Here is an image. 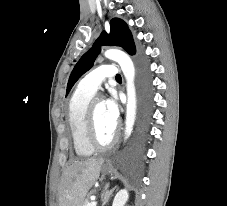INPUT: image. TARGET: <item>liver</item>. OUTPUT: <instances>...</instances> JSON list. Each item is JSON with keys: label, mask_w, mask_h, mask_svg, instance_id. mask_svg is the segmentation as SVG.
<instances>
[{"label": "liver", "mask_w": 227, "mask_h": 206, "mask_svg": "<svg viewBox=\"0 0 227 206\" xmlns=\"http://www.w3.org/2000/svg\"><path fill=\"white\" fill-rule=\"evenodd\" d=\"M103 159L75 161L63 172L58 188L59 206H81L98 179Z\"/></svg>", "instance_id": "1"}]
</instances>
